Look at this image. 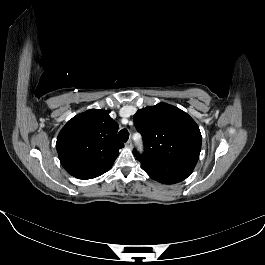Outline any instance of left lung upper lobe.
Wrapping results in <instances>:
<instances>
[{
  "mask_svg": "<svg viewBox=\"0 0 265 265\" xmlns=\"http://www.w3.org/2000/svg\"><path fill=\"white\" fill-rule=\"evenodd\" d=\"M141 133L145 151L134 155L141 165L166 164L199 158L202 137L196 122L179 108L159 103L137 111L133 117Z\"/></svg>",
  "mask_w": 265,
  "mask_h": 265,
  "instance_id": "left-lung-upper-lobe-1",
  "label": "left lung upper lobe"
}]
</instances>
